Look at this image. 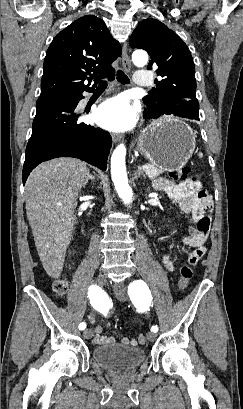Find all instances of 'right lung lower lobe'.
<instances>
[{"instance_id": "obj_1", "label": "right lung lower lobe", "mask_w": 243, "mask_h": 409, "mask_svg": "<svg viewBox=\"0 0 243 409\" xmlns=\"http://www.w3.org/2000/svg\"><path fill=\"white\" fill-rule=\"evenodd\" d=\"M82 98L79 93L37 100L33 131L26 147L23 184L38 164L57 157L79 158L106 170L112 139L108 132L78 121L81 114L77 105Z\"/></svg>"}]
</instances>
